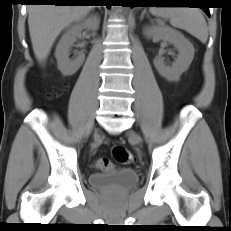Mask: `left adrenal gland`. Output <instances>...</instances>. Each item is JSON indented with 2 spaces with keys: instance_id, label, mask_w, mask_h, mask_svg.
<instances>
[{
  "instance_id": "1",
  "label": "left adrenal gland",
  "mask_w": 231,
  "mask_h": 231,
  "mask_svg": "<svg viewBox=\"0 0 231 231\" xmlns=\"http://www.w3.org/2000/svg\"><path fill=\"white\" fill-rule=\"evenodd\" d=\"M144 15H147V17H149V15L146 13V10H144L141 14V18H140L141 21L143 20Z\"/></svg>"
}]
</instances>
